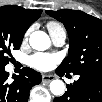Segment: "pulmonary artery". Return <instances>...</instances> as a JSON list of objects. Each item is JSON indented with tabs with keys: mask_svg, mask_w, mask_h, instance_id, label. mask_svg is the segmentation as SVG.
Returning a JSON list of instances; mask_svg holds the SVG:
<instances>
[{
	"mask_svg": "<svg viewBox=\"0 0 102 102\" xmlns=\"http://www.w3.org/2000/svg\"><path fill=\"white\" fill-rule=\"evenodd\" d=\"M50 36H51L53 43L58 47L64 45L66 41V37H67L65 31H61L57 33H50Z\"/></svg>",
	"mask_w": 102,
	"mask_h": 102,
	"instance_id": "e3ab8cb5",
	"label": "pulmonary artery"
}]
</instances>
